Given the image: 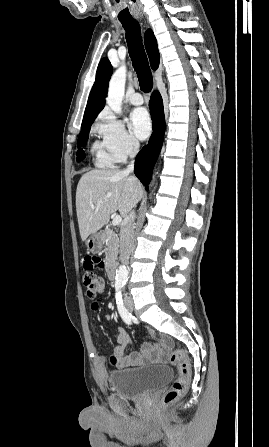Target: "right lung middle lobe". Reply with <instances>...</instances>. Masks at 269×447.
I'll use <instances>...</instances> for the list:
<instances>
[{
  "label": "right lung middle lobe",
  "instance_id": "right-lung-middle-lobe-1",
  "mask_svg": "<svg viewBox=\"0 0 269 447\" xmlns=\"http://www.w3.org/2000/svg\"><path fill=\"white\" fill-rule=\"evenodd\" d=\"M91 125H92V123H89V124H85L81 127V132L79 134L78 145H77V147H78L77 161H81L85 158V153H84L82 147H84L87 143Z\"/></svg>",
  "mask_w": 269,
  "mask_h": 447
}]
</instances>
